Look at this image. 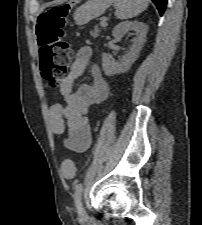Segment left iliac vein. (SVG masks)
<instances>
[{
	"label": "left iliac vein",
	"instance_id": "4c4485c4",
	"mask_svg": "<svg viewBox=\"0 0 202 225\" xmlns=\"http://www.w3.org/2000/svg\"><path fill=\"white\" fill-rule=\"evenodd\" d=\"M86 218V213L84 211V208L82 204L80 203V208H79V219L84 220Z\"/></svg>",
	"mask_w": 202,
	"mask_h": 225
}]
</instances>
